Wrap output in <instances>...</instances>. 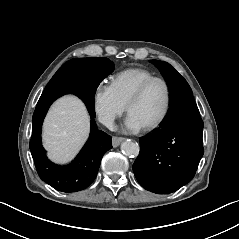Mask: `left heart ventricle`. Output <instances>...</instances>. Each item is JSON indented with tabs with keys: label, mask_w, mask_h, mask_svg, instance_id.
Returning a JSON list of instances; mask_svg holds the SVG:
<instances>
[{
	"label": "left heart ventricle",
	"mask_w": 239,
	"mask_h": 239,
	"mask_svg": "<svg viewBox=\"0 0 239 239\" xmlns=\"http://www.w3.org/2000/svg\"><path fill=\"white\" fill-rule=\"evenodd\" d=\"M166 103V90L161 82L152 83L142 98L132 106L130 114L146 126L162 114Z\"/></svg>",
	"instance_id": "b2bd125f"
}]
</instances>
